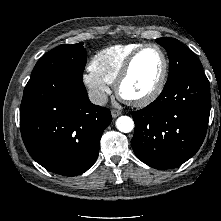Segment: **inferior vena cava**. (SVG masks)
I'll use <instances>...</instances> for the list:
<instances>
[{"mask_svg": "<svg viewBox=\"0 0 221 221\" xmlns=\"http://www.w3.org/2000/svg\"><path fill=\"white\" fill-rule=\"evenodd\" d=\"M88 96L91 103L95 105L104 106L108 102V96L104 91L90 90Z\"/></svg>", "mask_w": 221, "mask_h": 221, "instance_id": "obj_1", "label": "inferior vena cava"}]
</instances>
